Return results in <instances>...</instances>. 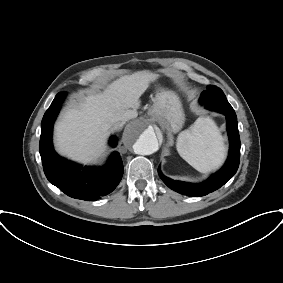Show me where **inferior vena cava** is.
Instances as JSON below:
<instances>
[{
    "label": "inferior vena cava",
    "mask_w": 283,
    "mask_h": 283,
    "mask_svg": "<svg viewBox=\"0 0 283 283\" xmlns=\"http://www.w3.org/2000/svg\"><path fill=\"white\" fill-rule=\"evenodd\" d=\"M123 125H124L123 122H116V123H113L110 126V129L113 130V131H117V130L121 129L123 127Z\"/></svg>",
    "instance_id": "inferior-vena-cava-1"
}]
</instances>
